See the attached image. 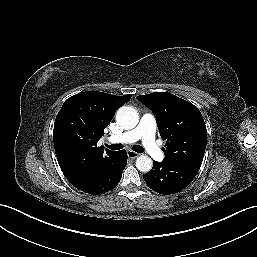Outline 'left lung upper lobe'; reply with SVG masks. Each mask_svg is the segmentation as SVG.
Returning a JSON list of instances; mask_svg holds the SVG:
<instances>
[{
    "mask_svg": "<svg viewBox=\"0 0 257 257\" xmlns=\"http://www.w3.org/2000/svg\"><path fill=\"white\" fill-rule=\"evenodd\" d=\"M137 99L156 115L160 136L166 140L164 161L199 171L207 143V130L199 109L167 92H154Z\"/></svg>",
    "mask_w": 257,
    "mask_h": 257,
    "instance_id": "5c2ea615",
    "label": "left lung upper lobe"
}]
</instances>
